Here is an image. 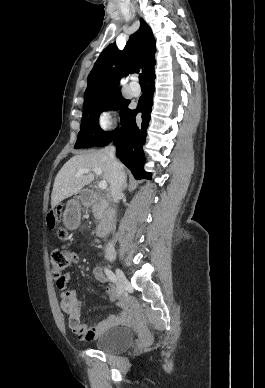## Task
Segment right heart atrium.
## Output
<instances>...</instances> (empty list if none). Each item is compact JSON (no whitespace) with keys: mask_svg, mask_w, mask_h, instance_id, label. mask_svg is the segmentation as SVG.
<instances>
[{"mask_svg":"<svg viewBox=\"0 0 265 388\" xmlns=\"http://www.w3.org/2000/svg\"><path fill=\"white\" fill-rule=\"evenodd\" d=\"M107 120V117H104V121H106Z\"/></svg>","mask_w":265,"mask_h":388,"instance_id":"obj_1","label":"right heart atrium"}]
</instances>
